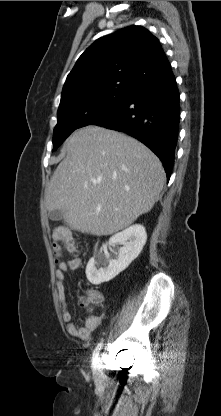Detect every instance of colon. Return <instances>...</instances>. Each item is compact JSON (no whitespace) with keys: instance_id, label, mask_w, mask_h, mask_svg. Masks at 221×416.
Returning <instances> with one entry per match:
<instances>
[{"instance_id":"5ec220e1","label":"colon","mask_w":221,"mask_h":416,"mask_svg":"<svg viewBox=\"0 0 221 416\" xmlns=\"http://www.w3.org/2000/svg\"><path fill=\"white\" fill-rule=\"evenodd\" d=\"M52 247L55 253L58 256L68 253L70 255H75L77 253V247L74 243L72 236L68 230H56L53 233L52 238ZM100 297L96 294H92L87 301H84L85 305L88 304H98L100 302Z\"/></svg>"}]
</instances>
